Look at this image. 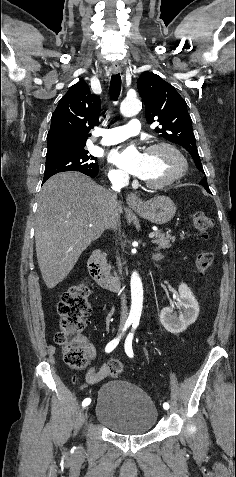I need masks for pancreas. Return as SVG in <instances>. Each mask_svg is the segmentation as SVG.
Listing matches in <instances>:
<instances>
[{"instance_id": "1", "label": "pancreas", "mask_w": 236, "mask_h": 477, "mask_svg": "<svg viewBox=\"0 0 236 477\" xmlns=\"http://www.w3.org/2000/svg\"><path fill=\"white\" fill-rule=\"evenodd\" d=\"M174 241H175V237L171 236L168 233L165 234L162 231L155 232V240L153 242L158 245V248H162V249L170 248L171 247L170 242H174ZM104 266L107 271H110L111 269L110 265H108L105 262Z\"/></svg>"}]
</instances>
